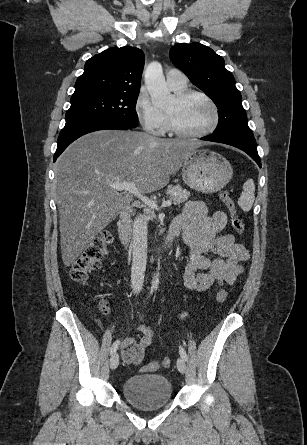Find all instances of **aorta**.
<instances>
[{
    "label": "aorta",
    "instance_id": "aorta-1",
    "mask_svg": "<svg viewBox=\"0 0 307 445\" xmlns=\"http://www.w3.org/2000/svg\"><path fill=\"white\" fill-rule=\"evenodd\" d=\"M144 78L147 90L151 96L152 104H157V106H168V104L173 102V96L170 88H168L166 84L162 64H160V62H157V60L149 62L147 68H145ZM159 283V273H155L151 283V291L159 289Z\"/></svg>",
    "mask_w": 307,
    "mask_h": 445
}]
</instances>
